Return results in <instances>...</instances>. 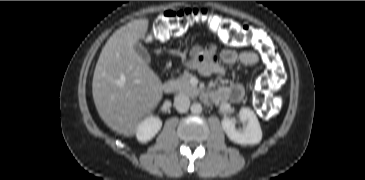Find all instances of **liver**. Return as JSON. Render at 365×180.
Instances as JSON below:
<instances>
[{
	"instance_id": "obj_1",
	"label": "liver",
	"mask_w": 365,
	"mask_h": 180,
	"mask_svg": "<svg viewBox=\"0 0 365 180\" xmlns=\"http://www.w3.org/2000/svg\"><path fill=\"white\" fill-rule=\"evenodd\" d=\"M148 19L129 22L108 39L99 56L92 82L99 116L113 131L131 137L141 120L163 96L162 82L135 52L148 30Z\"/></svg>"
}]
</instances>
